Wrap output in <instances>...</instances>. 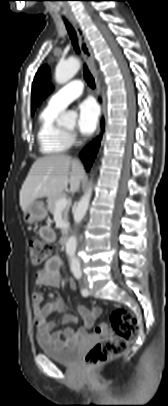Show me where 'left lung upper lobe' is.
Segmentation results:
<instances>
[{
  "label": "left lung upper lobe",
  "instance_id": "5c2ea615",
  "mask_svg": "<svg viewBox=\"0 0 168 406\" xmlns=\"http://www.w3.org/2000/svg\"><path fill=\"white\" fill-rule=\"evenodd\" d=\"M53 90L49 82V70L46 66L41 67L32 84V115L41 101Z\"/></svg>",
  "mask_w": 168,
  "mask_h": 406
}]
</instances>
